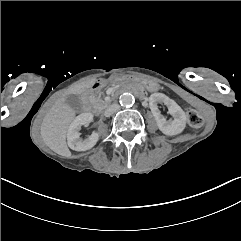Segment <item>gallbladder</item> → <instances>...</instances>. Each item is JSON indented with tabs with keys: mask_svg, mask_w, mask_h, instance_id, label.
<instances>
[{
	"mask_svg": "<svg viewBox=\"0 0 241 241\" xmlns=\"http://www.w3.org/2000/svg\"><path fill=\"white\" fill-rule=\"evenodd\" d=\"M67 102L69 103V108L72 111H79L82 108V101L77 95H70L67 97Z\"/></svg>",
	"mask_w": 241,
	"mask_h": 241,
	"instance_id": "gallbladder-1",
	"label": "gallbladder"
}]
</instances>
